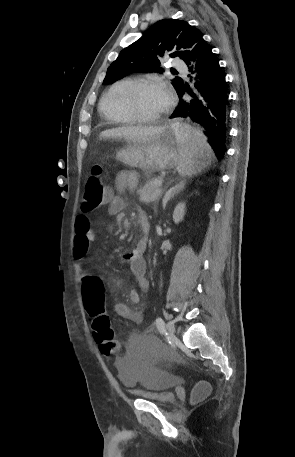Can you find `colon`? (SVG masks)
Here are the masks:
<instances>
[{
    "label": "colon",
    "instance_id": "1",
    "mask_svg": "<svg viewBox=\"0 0 295 457\" xmlns=\"http://www.w3.org/2000/svg\"><path fill=\"white\" fill-rule=\"evenodd\" d=\"M109 198L110 191L104 183L102 167L94 165L86 180L82 210L93 211L105 205ZM83 295L85 308L92 321L94 337L100 350L106 356H112L116 360L120 359L121 347L117 346L113 340L110 320L104 307L102 277L88 279L83 285ZM207 390L206 385L200 384L195 388L194 396L201 397Z\"/></svg>",
    "mask_w": 295,
    "mask_h": 457
}]
</instances>
